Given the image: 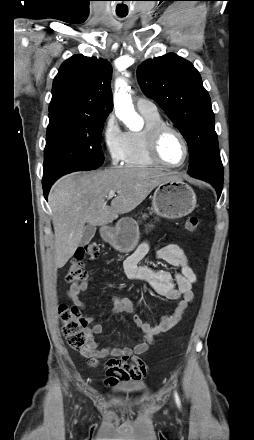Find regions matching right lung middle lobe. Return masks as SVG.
Wrapping results in <instances>:
<instances>
[{"label": "right lung middle lobe", "instance_id": "1", "mask_svg": "<svg viewBox=\"0 0 254 440\" xmlns=\"http://www.w3.org/2000/svg\"><path fill=\"white\" fill-rule=\"evenodd\" d=\"M43 184L78 170H93L104 161L101 134L106 117L61 110L49 114Z\"/></svg>", "mask_w": 254, "mask_h": 440}]
</instances>
